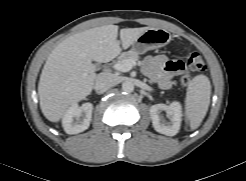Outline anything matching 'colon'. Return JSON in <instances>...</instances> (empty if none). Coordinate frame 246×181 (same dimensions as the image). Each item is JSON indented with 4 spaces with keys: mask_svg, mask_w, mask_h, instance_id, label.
<instances>
[{
    "mask_svg": "<svg viewBox=\"0 0 246 181\" xmlns=\"http://www.w3.org/2000/svg\"><path fill=\"white\" fill-rule=\"evenodd\" d=\"M186 62L190 70L202 72L205 69V63L199 52L187 48ZM191 82V76L187 72H183L180 76V83L183 86H188Z\"/></svg>",
    "mask_w": 246,
    "mask_h": 181,
    "instance_id": "obj_1",
    "label": "colon"
}]
</instances>
